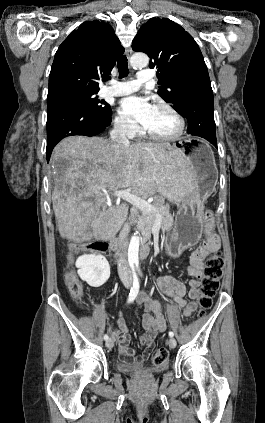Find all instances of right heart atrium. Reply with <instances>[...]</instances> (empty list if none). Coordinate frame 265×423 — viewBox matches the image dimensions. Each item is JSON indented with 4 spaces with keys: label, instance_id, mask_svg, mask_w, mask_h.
<instances>
[{
    "label": "right heart atrium",
    "instance_id": "obj_1",
    "mask_svg": "<svg viewBox=\"0 0 265 423\" xmlns=\"http://www.w3.org/2000/svg\"><path fill=\"white\" fill-rule=\"evenodd\" d=\"M114 128L118 133L128 138L135 137L139 132L138 126L133 121L121 115L115 117Z\"/></svg>",
    "mask_w": 265,
    "mask_h": 423
}]
</instances>
